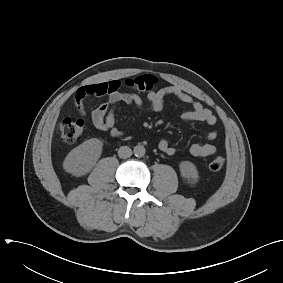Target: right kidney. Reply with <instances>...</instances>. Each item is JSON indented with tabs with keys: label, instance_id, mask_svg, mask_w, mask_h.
<instances>
[{
	"label": "right kidney",
	"instance_id": "ca27d5eb",
	"mask_svg": "<svg viewBox=\"0 0 283 283\" xmlns=\"http://www.w3.org/2000/svg\"><path fill=\"white\" fill-rule=\"evenodd\" d=\"M102 147V141L97 138L84 141L68 153L63 168L74 176L87 174L100 158Z\"/></svg>",
	"mask_w": 283,
	"mask_h": 283
}]
</instances>
